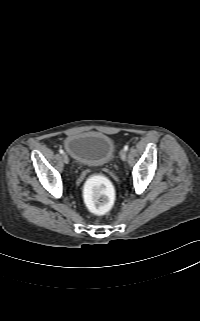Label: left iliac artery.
I'll use <instances>...</instances> for the list:
<instances>
[{
  "mask_svg": "<svg viewBox=\"0 0 200 321\" xmlns=\"http://www.w3.org/2000/svg\"><path fill=\"white\" fill-rule=\"evenodd\" d=\"M129 149V146L128 145H125L124 146V150L127 151Z\"/></svg>",
  "mask_w": 200,
  "mask_h": 321,
  "instance_id": "44dca946",
  "label": "left iliac artery"
}]
</instances>
